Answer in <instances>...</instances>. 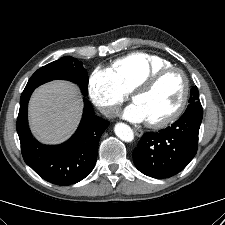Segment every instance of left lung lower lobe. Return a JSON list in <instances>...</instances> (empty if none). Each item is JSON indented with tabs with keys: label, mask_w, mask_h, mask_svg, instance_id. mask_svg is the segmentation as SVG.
<instances>
[{
	"label": "left lung lower lobe",
	"mask_w": 225,
	"mask_h": 225,
	"mask_svg": "<svg viewBox=\"0 0 225 225\" xmlns=\"http://www.w3.org/2000/svg\"><path fill=\"white\" fill-rule=\"evenodd\" d=\"M202 117L201 103L191 104L171 126L156 133H145L133 151L136 168L157 179L182 171L197 152Z\"/></svg>",
	"instance_id": "1"
}]
</instances>
